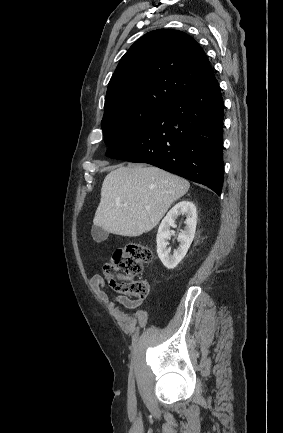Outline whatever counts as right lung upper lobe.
Returning <instances> with one entry per match:
<instances>
[{
	"mask_svg": "<svg viewBox=\"0 0 283 433\" xmlns=\"http://www.w3.org/2000/svg\"><path fill=\"white\" fill-rule=\"evenodd\" d=\"M216 81L199 44L184 32L151 31L121 58L107 89L105 111L127 104L165 107Z\"/></svg>",
	"mask_w": 283,
	"mask_h": 433,
	"instance_id": "cb5924a9",
	"label": "right lung upper lobe"
}]
</instances>
